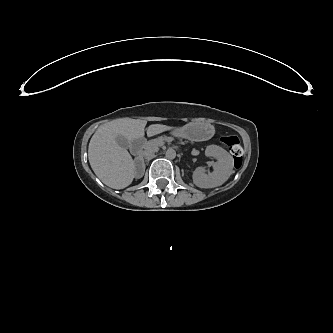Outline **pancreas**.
I'll return each mask as SVG.
<instances>
[{
    "label": "pancreas",
    "instance_id": "obj_1",
    "mask_svg": "<svg viewBox=\"0 0 333 333\" xmlns=\"http://www.w3.org/2000/svg\"><path fill=\"white\" fill-rule=\"evenodd\" d=\"M154 148V145L147 146V152H150Z\"/></svg>",
    "mask_w": 333,
    "mask_h": 333
}]
</instances>
